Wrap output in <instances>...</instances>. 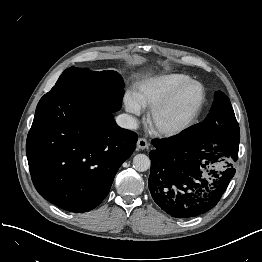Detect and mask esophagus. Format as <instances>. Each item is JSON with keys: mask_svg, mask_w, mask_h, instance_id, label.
<instances>
[{"mask_svg": "<svg viewBox=\"0 0 262 262\" xmlns=\"http://www.w3.org/2000/svg\"><path fill=\"white\" fill-rule=\"evenodd\" d=\"M148 147V141L145 138H139L137 141V148L144 150Z\"/></svg>", "mask_w": 262, "mask_h": 262, "instance_id": "1", "label": "esophagus"}]
</instances>
